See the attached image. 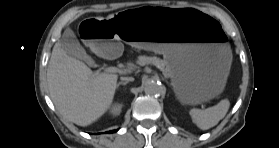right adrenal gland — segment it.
<instances>
[{"mask_svg":"<svg viewBox=\"0 0 279 148\" xmlns=\"http://www.w3.org/2000/svg\"><path fill=\"white\" fill-rule=\"evenodd\" d=\"M127 83H128V81H124V82L121 81L117 84L116 87L119 88L120 85H126Z\"/></svg>","mask_w":279,"mask_h":148,"instance_id":"right-adrenal-gland-1","label":"right adrenal gland"}]
</instances>
